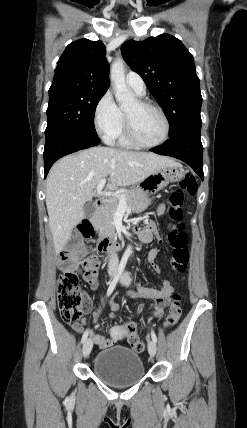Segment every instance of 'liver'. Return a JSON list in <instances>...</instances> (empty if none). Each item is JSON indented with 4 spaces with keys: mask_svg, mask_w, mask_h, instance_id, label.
<instances>
[{
    "mask_svg": "<svg viewBox=\"0 0 247 428\" xmlns=\"http://www.w3.org/2000/svg\"><path fill=\"white\" fill-rule=\"evenodd\" d=\"M177 165L168 157L102 146L57 161L46 181V206L56 255L85 217V203L95 195L102 179L108 177V189L125 187L140 183L161 168Z\"/></svg>",
    "mask_w": 247,
    "mask_h": 428,
    "instance_id": "1",
    "label": "liver"
}]
</instances>
